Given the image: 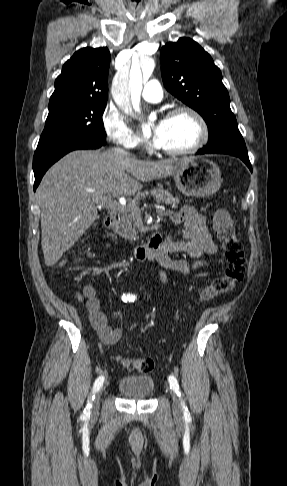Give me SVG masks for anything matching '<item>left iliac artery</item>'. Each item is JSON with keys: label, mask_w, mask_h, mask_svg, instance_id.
<instances>
[{"label": "left iliac artery", "mask_w": 287, "mask_h": 486, "mask_svg": "<svg viewBox=\"0 0 287 486\" xmlns=\"http://www.w3.org/2000/svg\"><path fill=\"white\" fill-rule=\"evenodd\" d=\"M134 300L135 299H131V300H129V302H134ZM168 381H169V384H170V388L173 391H175V393L180 397L181 393H180V388H179V384H178L176 377L174 375H170L169 378H168ZM182 408H183V412H184V417L185 418L189 417L190 414H189L188 409L185 406L184 402H182Z\"/></svg>", "instance_id": "left-iliac-artery-1"}]
</instances>
